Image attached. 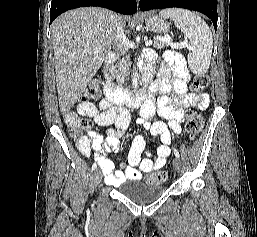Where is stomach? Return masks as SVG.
<instances>
[{"instance_id":"obj_1","label":"stomach","mask_w":257,"mask_h":237,"mask_svg":"<svg viewBox=\"0 0 257 237\" xmlns=\"http://www.w3.org/2000/svg\"><path fill=\"white\" fill-rule=\"evenodd\" d=\"M144 18L150 31L164 35L169 31V24L157 15L147 13Z\"/></svg>"}]
</instances>
